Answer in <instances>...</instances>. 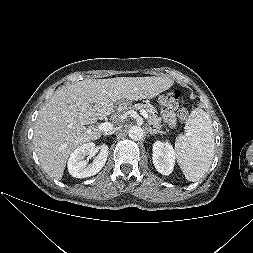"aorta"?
I'll list each match as a JSON object with an SVG mask.
<instances>
[{
  "label": "aorta",
  "instance_id": "1",
  "mask_svg": "<svg viewBox=\"0 0 253 253\" xmlns=\"http://www.w3.org/2000/svg\"><path fill=\"white\" fill-rule=\"evenodd\" d=\"M129 137L134 140V141H137V140H140L143 138L144 136V131L141 127L139 126H132L129 131Z\"/></svg>",
  "mask_w": 253,
  "mask_h": 253
}]
</instances>
